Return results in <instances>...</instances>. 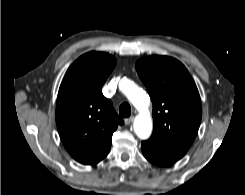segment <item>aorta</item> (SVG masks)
<instances>
[{
    "mask_svg": "<svg viewBox=\"0 0 245 195\" xmlns=\"http://www.w3.org/2000/svg\"><path fill=\"white\" fill-rule=\"evenodd\" d=\"M119 86L135 108L140 112L134 120V132L139 138L147 139L152 132V119L148 111L150 103L148 95L143 89L127 79L121 80Z\"/></svg>",
    "mask_w": 245,
    "mask_h": 195,
    "instance_id": "obj_1",
    "label": "aorta"
}]
</instances>
